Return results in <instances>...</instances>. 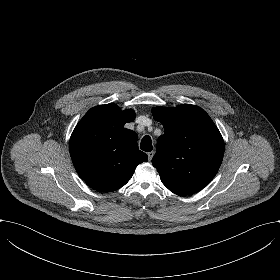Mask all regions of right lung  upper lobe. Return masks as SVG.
Returning <instances> with one entry per match:
<instances>
[{
  "instance_id": "1",
  "label": "right lung upper lobe",
  "mask_w": 280,
  "mask_h": 280,
  "mask_svg": "<svg viewBox=\"0 0 280 280\" xmlns=\"http://www.w3.org/2000/svg\"><path fill=\"white\" fill-rule=\"evenodd\" d=\"M134 110L113 104L90 109L75 127L69 143L73 165L91 188L112 192L124 186L138 164L148 160L138 149V135L124 127Z\"/></svg>"
}]
</instances>
